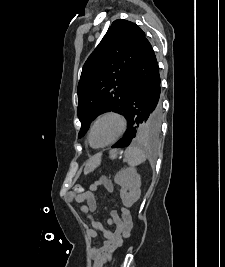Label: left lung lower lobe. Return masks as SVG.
Wrapping results in <instances>:
<instances>
[{"label":"left lung lower lobe","instance_id":"left-lung-lower-lobe-1","mask_svg":"<svg viewBox=\"0 0 225 267\" xmlns=\"http://www.w3.org/2000/svg\"><path fill=\"white\" fill-rule=\"evenodd\" d=\"M160 75L155 53L146 39L131 84L125 118L128 129L125 136L112 148L126 147L136 136L137 125L150 119L152 125L161 124Z\"/></svg>","mask_w":225,"mask_h":267}]
</instances>
